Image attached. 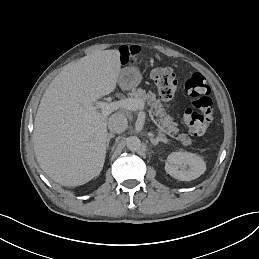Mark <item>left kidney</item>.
I'll return each instance as SVG.
<instances>
[{"mask_svg":"<svg viewBox=\"0 0 259 259\" xmlns=\"http://www.w3.org/2000/svg\"><path fill=\"white\" fill-rule=\"evenodd\" d=\"M165 171L180 181H191L205 172V164L193 154L172 153L165 163Z\"/></svg>","mask_w":259,"mask_h":259,"instance_id":"1","label":"left kidney"}]
</instances>
